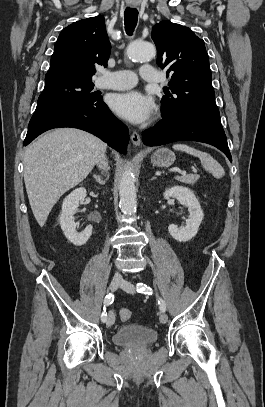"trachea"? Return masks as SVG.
I'll return each instance as SVG.
<instances>
[{
    "label": "trachea",
    "mask_w": 265,
    "mask_h": 407,
    "mask_svg": "<svg viewBox=\"0 0 265 407\" xmlns=\"http://www.w3.org/2000/svg\"><path fill=\"white\" fill-rule=\"evenodd\" d=\"M138 11L135 8H126L124 12L125 31L128 35H132L137 25Z\"/></svg>",
    "instance_id": "3493384b"
}]
</instances>
